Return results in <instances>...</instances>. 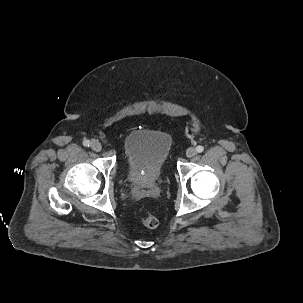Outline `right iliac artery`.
Masks as SVG:
<instances>
[{"mask_svg":"<svg viewBox=\"0 0 303 303\" xmlns=\"http://www.w3.org/2000/svg\"><path fill=\"white\" fill-rule=\"evenodd\" d=\"M90 144H91V143H90L89 140H84V141H83V145L86 146V147H89Z\"/></svg>","mask_w":303,"mask_h":303,"instance_id":"82829eb1","label":"right iliac artery"}]
</instances>
